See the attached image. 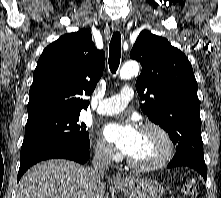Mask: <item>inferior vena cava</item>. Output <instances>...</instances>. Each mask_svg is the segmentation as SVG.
<instances>
[{
  "mask_svg": "<svg viewBox=\"0 0 221 198\" xmlns=\"http://www.w3.org/2000/svg\"><path fill=\"white\" fill-rule=\"evenodd\" d=\"M112 151L105 145H100L95 148V154L92 160L93 168L90 169V176L94 181H101L104 173L107 171L111 159Z\"/></svg>",
  "mask_w": 221,
  "mask_h": 198,
  "instance_id": "1",
  "label": "inferior vena cava"
}]
</instances>
